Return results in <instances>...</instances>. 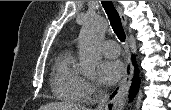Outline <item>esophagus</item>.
<instances>
[{
  "label": "esophagus",
  "mask_w": 171,
  "mask_h": 110,
  "mask_svg": "<svg viewBox=\"0 0 171 110\" xmlns=\"http://www.w3.org/2000/svg\"><path fill=\"white\" fill-rule=\"evenodd\" d=\"M117 10L120 14L123 25L126 27L127 22L121 7L117 6ZM133 73H134V69L130 61V58H128L126 60L124 77L120 83L118 94L109 103V107H112L113 110H121L123 108L128 95L129 87L131 85Z\"/></svg>",
  "instance_id": "34e87169"
}]
</instances>
